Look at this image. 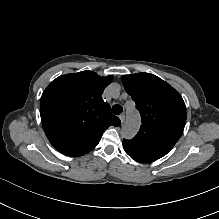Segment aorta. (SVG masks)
Returning <instances> with one entry per match:
<instances>
[{
  "instance_id": "1",
  "label": "aorta",
  "mask_w": 219,
  "mask_h": 219,
  "mask_svg": "<svg viewBox=\"0 0 219 219\" xmlns=\"http://www.w3.org/2000/svg\"><path fill=\"white\" fill-rule=\"evenodd\" d=\"M140 127V116L138 112L129 110L127 112V120L121 128V136L126 139L133 138Z\"/></svg>"
}]
</instances>
